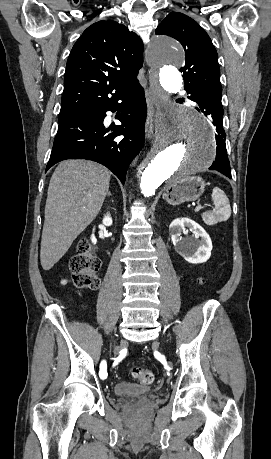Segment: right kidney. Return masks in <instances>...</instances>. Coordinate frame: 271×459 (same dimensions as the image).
Masks as SVG:
<instances>
[{"label":"right kidney","mask_w":271,"mask_h":459,"mask_svg":"<svg viewBox=\"0 0 271 459\" xmlns=\"http://www.w3.org/2000/svg\"><path fill=\"white\" fill-rule=\"evenodd\" d=\"M102 222H103L104 226H112V218H110V214H106V216H104ZM91 241H92V243H96V241H97L94 233H92V235H91Z\"/></svg>","instance_id":"1"}]
</instances>
